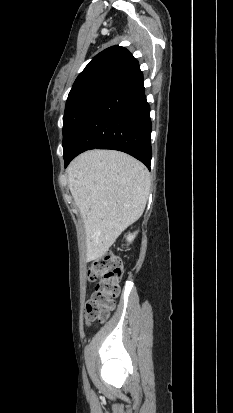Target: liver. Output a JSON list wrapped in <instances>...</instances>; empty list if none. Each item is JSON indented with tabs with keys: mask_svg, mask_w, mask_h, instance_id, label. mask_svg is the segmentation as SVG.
Wrapping results in <instances>:
<instances>
[{
	"mask_svg": "<svg viewBox=\"0 0 233 413\" xmlns=\"http://www.w3.org/2000/svg\"><path fill=\"white\" fill-rule=\"evenodd\" d=\"M68 186L83 218L86 260L103 257L119 235L143 214L150 173L123 152L91 150L67 169Z\"/></svg>",
	"mask_w": 233,
	"mask_h": 413,
	"instance_id": "obj_1",
	"label": "liver"
}]
</instances>
